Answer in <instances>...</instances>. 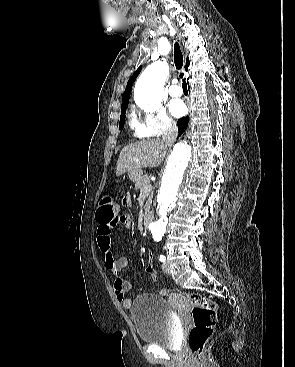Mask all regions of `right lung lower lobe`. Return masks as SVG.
Instances as JSON below:
<instances>
[{
    "instance_id": "right-lung-lower-lobe-1",
    "label": "right lung lower lobe",
    "mask_w": 295,
    "mask_h": 367,
    "mask_svg": "<svg viewBox=\"0 0 295 367\" xmlns=\"http://www.w3.org/2000/svg\"><path fill=\"white\" fill-rule=\"evenodd\" d=\"M189 122V117H182L178 120L177 125H178V132H179V136H181V134L184 132V130L186 129L187 125Z\"/></svg>"
}]
</instances>
